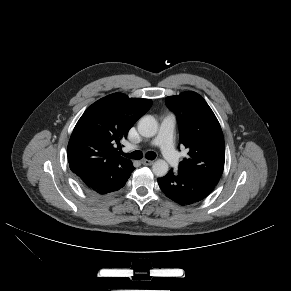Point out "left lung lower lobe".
Instances as JSON below:
<instances>
[{"instance_id": "left-lung-lower-lobe-1", "label": "left lung lower lobe", "mask_w": 291, "mask_h": 291, "mask_svg": "<svg viewBox=\"0 0 291 291\" xmlns=\"http://www.w3.org/2000/svg\"><path fill=\"white\" fill-rule=\"evenodd\" d=\"M158 184L168 198L180 205L203 200L215 187V184L180 170L176 173L170 170L166 176L158 178Z\"/></svg>"}]
</instances>
